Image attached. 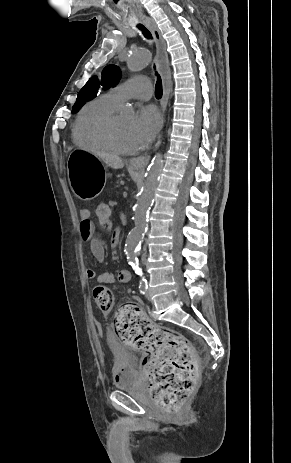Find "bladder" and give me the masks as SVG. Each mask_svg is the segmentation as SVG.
Wrapping results in <instances>:
<instances>
[{
    "label": "bladder",
    "mask_w": 291,
    "mask_h": 463,
    "mask_svg": "<svg viewBox=\"0 0 291 463\" xmlns=\"http://www.w3.org/2000/svg\"><path fill=\"white\" fill-rule=\"evenodd\" d=\"M114 381L118 389L135 388L137 374L134 369V359L131 355L118 353L115 357Z\"/></svg>",
    "instance_id": "bladder-1"
}]
</instances>
